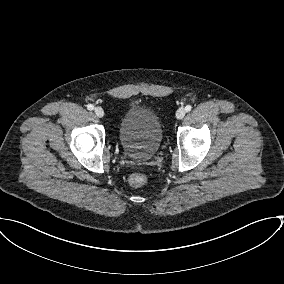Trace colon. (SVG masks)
Listing matches in <instances>:
<instances>
[{"instance_id": "colon-1", "label": "colon", "mask_w": 284, "mask_h": 284, "mask_svg": "<svg viewBox=\"0 0 284 284\" xmlns=\"http://www.w3.org/2000/svg\"><path fill=\"white\" fill-rule=\"evenodd\" d=\"M147 181V176L142 173H135L129 177V183L133 187H140Z\"/></svg>"}]
</instances>
